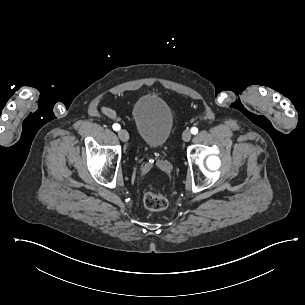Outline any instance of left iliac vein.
<instances>
[{
  "label": "left iliac vein",
  "instance_id": "obj_1",
  "mask_svg": "<svg viewBox=\"0 0 305 305\" xmlns=\"http://www.w3.org/2000/svg\"><path fill=\"white\" fill-rule=\"evenodd\" d=\"M182 137H183V140H184L185 142L190 141V139H191V137H192L191 131H190V130H185V131L183 132Z\"/></svg>",
  "mask_w": 305,
  "mask_h": 305
}]
</instances>
